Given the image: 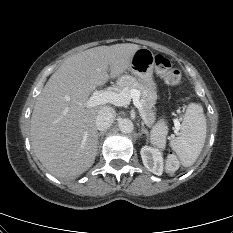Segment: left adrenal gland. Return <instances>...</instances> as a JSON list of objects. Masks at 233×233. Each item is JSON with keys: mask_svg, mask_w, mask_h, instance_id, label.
<instances>
[{"mask_svg": "<svg viewBox=\"0 0 233 233\" xmlns=\"http://www.w3.org/2000/svg\"><path fill=\"white\" fill-rule=\"evenodd\" d=\"M141 133L146 134L147 139L149 138V132H148L147 128H145L144 124H142Z\"/></svg>", "mask_w": 233, "mask_h": 233, "instance_id": "1", "label": "left adrenal gland"}]
</instances>
